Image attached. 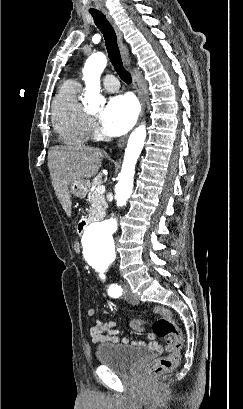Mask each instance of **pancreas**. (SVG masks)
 I'll return each instance as SVG.
<instances>
[{
  "label": "pancreas",
  "instance_id": "obj_1",
  "mask_svg": "<svg viewBox=\"0 0 243 409\" xmlns=\"http://www.w3.org/2000/svg\"><path fill=\"white\" fill-rule=\"evenodd\" d=\"M100 183V178L96 177L91 183L90 199L91 204L89 216L94 220H101L106 215V209L108 207L104 196L96 191V186Z\"/></svg>",
  "mask_w": 243,
  "mask_h": 409
}]
</instances>
